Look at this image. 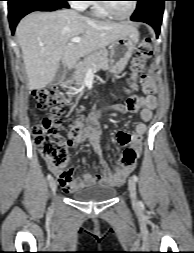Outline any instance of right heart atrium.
Returning a JSON list of instances; mask_svg holds the SVG:
<instances>
[{
  "label": "right heart atrium",
  "mask_w": 194,
  "mask_h": 253,
  "mask_svg": "<svg viewBox=\"0 0 194 253\" xmlns=\"http://www.w3.org/2000/svg\"><path fill=\"white\" fill-rule=\"evenodd\" d=\"M87 0H73L72 5L76 9H84L87 6Z\"/></svg>",
  "instance_id": "d8ad5b80"
}]
</instances>
